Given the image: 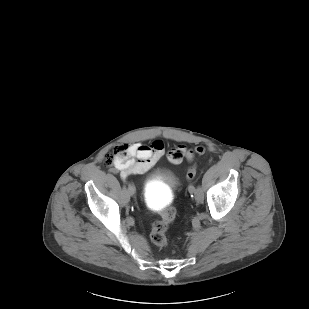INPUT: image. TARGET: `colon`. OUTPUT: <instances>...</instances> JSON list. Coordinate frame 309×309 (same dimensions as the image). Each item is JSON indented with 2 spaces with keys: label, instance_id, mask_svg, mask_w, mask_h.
Listing matches in <instances>:
<instances>
[{
  "label": "colon",
  "instance_id": "5ec220e1",
  "mask_svg": "<svg viewBox=\"0 0 309 309\" xmlns=\"http://www.w3.org/2000/svg\"><path fill=\"white\" fill-rule=\"evenodd\" d=\"M173 150L170 151L168 157H170V154ZM195 152L198 156H202L205 153V147L198 146L196 147ZM129 155V147L127 145H116L107 153L104 163L107 167H112L118 163L125 162L129 158ZM196 171V164H192L188 167L186 173V178L188 181H192L195 178ZM174 217V210L167 207L163 210L161 218L153 223L150 231V238L156 246L165 247L168 245L167 231L170 224L174 220Z\"/></svg>",
  "mask_w": 309,
  "mask_h": 309
}]
</instances>
